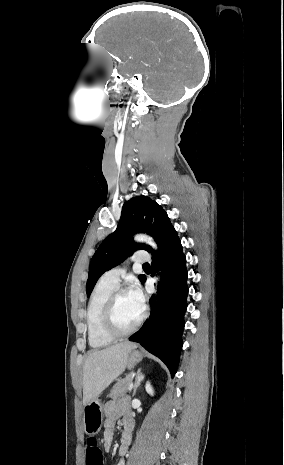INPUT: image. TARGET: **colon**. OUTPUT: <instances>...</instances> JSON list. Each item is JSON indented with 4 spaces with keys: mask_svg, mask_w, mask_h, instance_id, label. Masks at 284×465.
<instances>
[{
    "mask_svg": "<svg viewBox=\"0 0 284 465\" xmlns=\"http://www.w3.org/2000/svg\"><path fill=\"white\" fill-rule=\"evenodd\" d=\"M89 441L93 442L94 438L90 437ZM84 454L86 455V465H102V454L98 446H85Z\"/></svg>",
    "mask_w": 284,
    "mask_h": 465,
    "instance_id": "5ec220e1",
    "label": "colon"
}]
</instances>
